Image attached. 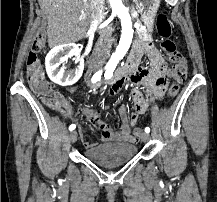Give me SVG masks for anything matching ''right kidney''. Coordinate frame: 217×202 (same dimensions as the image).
I'll list each match as a JSON object with an SVG mask.
<instances>
[{"instance_id": "ca27d5eb", "label": "right kidney", "mask_w": 217, "mask_h": 202, "mask_svg": "<svg viewBox=\"0 0 217 202\" xmlns=\"http://www.w3.org/2000/svg\"><path fill=\"white\" fill-rule=\"evenodd\" d=\"M81 52L76 44H63V46H56L53 50H50L45 58L46 72L52 80L59 86H72L80 80L84 70V58L80 56ZM75 56V62L79 66L75 70H59V66L66 62L68 58Z\"/></svg>"}]
</instances>
